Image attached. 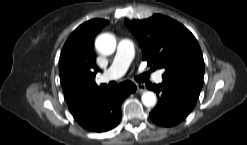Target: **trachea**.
<instances>
[{
	"instance_id": "obj_1",
	"label": "trachea",
	"mask_w": 247,
	"mask_h": 145,
	"mask_svg": "<svg viewBox=\"0 0 247 145\" xmlns=\"http://www.w3.org/2000/svg\"><path fill=\"white\" fill-rule=\"evenodd\" d=\"M149 78V73H145L143 75H140L139 77L136 78L137 81L143 82Z\"/></svg>"
}]
</instances>
